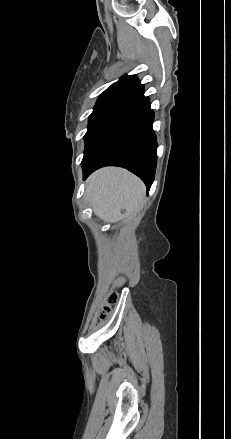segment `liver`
Listing matches in <instances>:
<instances>
[{
    "instance_id": "1",
    "label": "liver",
    "mask_w": 231,
    "mask_h": 439,
    "mask_svg": "<svg viewBox=\"0 0 231 439\" xmlns=\"http://www.w3.org/2000/svg\"><path fill=\"white\" fill-rule=\"evenodd\" d=\"M143 182L129 171L106 167L94 172L87 180L86 194L94 213L105 222H117L138 212L144 202Z\"/></svg>"
}]
</instances>
